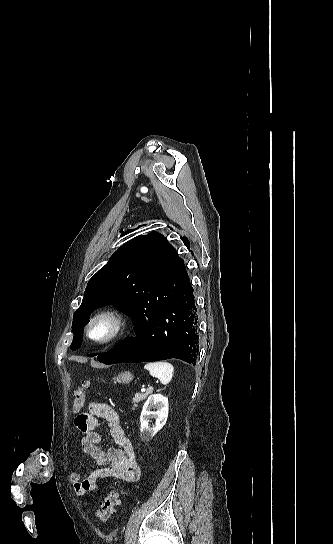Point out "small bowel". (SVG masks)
<instances>
[{"label":"small bowel","instance_id":"obj_1","mask_svg":"<svg viewBox=\"0 0 333 544\" xmlns=\"http://www.w3.org/2000/svg\"><path fill=\"white\" fill-rule=\"evenodd\" d=\"M88 409V413L78 415L74 423L83 434L80 440L82 450L91 456L99 467L86 478H82L79 472L70 474V481L79 496L97 490L101 479L116 478L134 482L140 476L137 456L123 429L121 415L107 403L91 402ZM101 420L108 425L115 444L107 450L102 448L103 439L98 432Z\"/></svg>","mask_w":333,"mask_h":544}]
</instances>
